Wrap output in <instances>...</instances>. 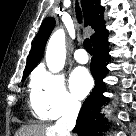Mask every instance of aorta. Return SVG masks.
Segmentation results:
<instances>
[{"instance_id":"1","label":"aorta","mask_w":136,"mask_h":136,"mask_svg":"<svg viewBox=\"0 0 136 136\" xmlns=\"http://www.w3.org/2000/svg\"><path fill=\"white\" fill-rule=\"evenodd\" d=\"M46 64L52 73L60 72L66 60L65 32L63 29L55 31L47 44Z\"/></svg>"}]
</instances>
